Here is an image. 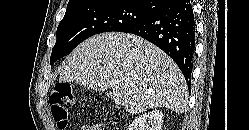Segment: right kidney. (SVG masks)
I'll use <instances>...</instances> for the list:
<instances>
[{
    "label": "right kidney",
    "instance_id": "1",
    "mask_svg": "<svg viewBox=\"0 0 249 130\" xmlns=\"http://www.w3.org/2000/svg\"><path fill=\"white\" fill-rule=\"evenodd\" d=\"M163 113L160 110H152L136 118L128 127V130H161Z\"/></svg>",
    "mask_w": 249,
    "mask_h": 130
}]
</instances>
